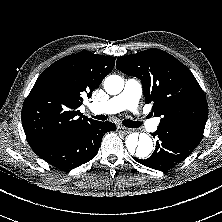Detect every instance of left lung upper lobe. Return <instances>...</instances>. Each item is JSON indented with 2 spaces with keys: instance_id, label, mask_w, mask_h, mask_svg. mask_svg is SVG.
Segmentation results:
<instances>
[{
  "instance_id": "left-lung-upper-lobe-1",
  "label": "left lung upper lobe",
  "mask_w": 222,
  "mask_h": 222,
  "mask_svg": "<svg viewBox=\"0 0 222 222\" xmlns=\"http://www.w3.org/2000/svg\"><path fill=\"white\" fill-rule=\"evenodd\" d=\"M116 67L138 77L147 103L153 102L160 123H179L205 128L208 104L192 72L169 53L148 49L118 57Z\"/></svg>"
}]
</instances>
